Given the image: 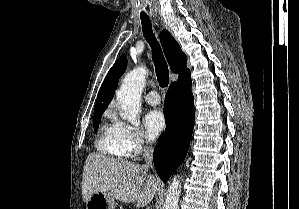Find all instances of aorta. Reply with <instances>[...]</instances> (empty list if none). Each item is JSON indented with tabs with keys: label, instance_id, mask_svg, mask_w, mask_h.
I'll list each match as a JSON object with an SVG mask.
<instances>
[{
	"label": "aorta",
	"instance_id": "1",
	"mask_svg": "<svg viewBox=\"0 0 299 209\" xmlns=\"http://www.w3.org/2000/svg\"><path fill=\"white\" fill-rule=\"evenodd\" d=\"M146 75L147 71L145 68H135L124 77L120 90L117 93V100L122 108L121 118L135 126L139 125L140 96L145 86ZM180 192V180L179 177L175 176L168 187L163 209H178Z\"/></svg>",
	"mask_w": 299,
	"mask_h": 209
}]
</instances>
